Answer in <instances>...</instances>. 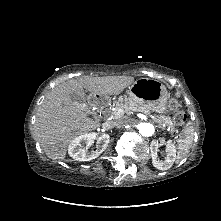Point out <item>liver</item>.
<instances>
[{"label": "liver", "instance_id": "6515ba94", "mask_svg": "<svg viewBox=\"0 0 221 221\" xmlns=\"http://www.w3.org/2000/svg\"><path fill=\"white\" fill-rule=\"evenodd\" d=\"M133 82L132 76L84 77L52 89L40 105L34 125L35 136L45 154L54 160H64L72 139L101 126L98 119L88 117L86 102L71 101L70 93L86 99L85 88L94 96L119 95Z\"/></svg>", "mask_w": 221, "mask_h": 221}]
</instances>
